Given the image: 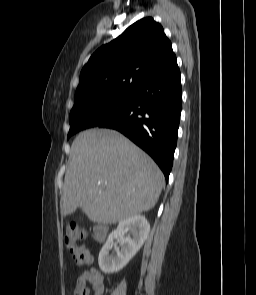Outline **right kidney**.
Segmentation results:
<instances>
[{"label": "right kidney", "instance_id": "ca27d5eb", "mask_svg": "<svg viewBox=\"0 0 256 295\" xmlns=\"http://www.w3.org/2000/svg\"><path fill=\"white\" fill-rule=\"evenodd\" d=\"M131 231L132 237H125ZM150 232V225L142 215H136L119 222L117 229L112 231L102 247L98 263L105 274H113L123 269L144 244ZM120 237V246L115 249L116 255L109 256L113 246V239Z\"/></svg>", "mask_w": 256, "mask_h": 295}]
</instances>
